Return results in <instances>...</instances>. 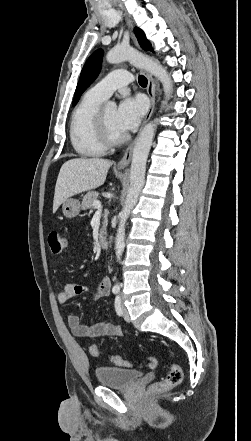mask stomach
Listing matches in <instances>:
<instances>
[{"mask_svg":"<svg viewBox=\"0 0 251 441\" xmlns=\"http://www.w3.org/2000/svg\"><path fill=\"white\" fill-rule=\"evenodd\" d=\"M81 204L75 198H68L62 203V212L66 218H73L79 214Z\"/></svg>","mask_w":251,"mask_h":441,"instance_id":"obj_1","label":"stomach"}]
</instances>
